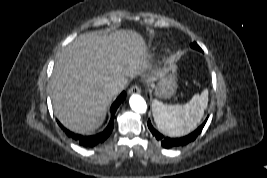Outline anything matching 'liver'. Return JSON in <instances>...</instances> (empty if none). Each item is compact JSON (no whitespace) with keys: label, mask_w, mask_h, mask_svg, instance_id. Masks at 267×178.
<instances>
[{"label":"liver","mask_w":267,"mask_h":178,"mask_svg":"<svg viewBox=\"0 0 267 178\" xmlns=\"http://www.w3.org/2000/svg\"><path fill=\"white\" fill-rule=\"evenodd\" d=\"M172 61H169V65ZM150 70L146 80L154 82L168 70L153 69L143 37L133 30L81 34L60 53L50 82L54 113L69 130L90 134L106 117L115 95L110 84L125 86L129 78Z\"/></svg>","instance_id":"1"}]
</instances>
